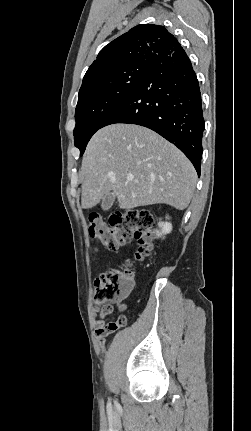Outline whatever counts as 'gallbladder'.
I'll return each instance as SVG.
<instances>
[{
  "label": "gallbladder",
  "mask_w": 251,
  "mask_h": 431,
  "mask_svg": "<svg viewBox=\"0 0 251 431\" xmlns=\"http://www.w3.org/2000/svg\"><path fill=\"white\" fill-rule=\"evenodd\" d=\"M114 201H115V196L114 195L108 194V195L104 196L103 199H102L101 208L104 211L109 210L112 207Z\"/></svg>",
  "instance_id": "gallbladder-1"
}]
</instances>
